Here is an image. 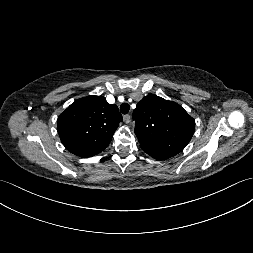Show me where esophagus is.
<instances>
[{"label":"esophagus","instance_id":"esophagus-1","mask_svg":"<svg viewBox=\"0 0 253 253\" xmlns=\"http://www.w3.org/2000/svg\"><path fill=\"white\" fill-rule=\"evenodd\" d=\"M130 120H131V116L129 114L124 116V122L125 123H129Z\"/></svg>","mask_w":253,"mask_h":253}]
</instances>
